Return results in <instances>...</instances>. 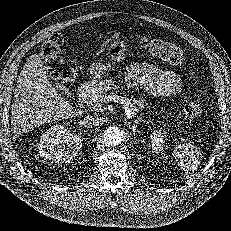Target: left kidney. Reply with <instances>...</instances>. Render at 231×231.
Returning a JSON list of instances; mask_svg holds the SVG:
<instances>
[{"instance_id":"5707ae66","label":"left kidney","mask_w":231,"mask_h":231,"mask_svg":"<svg viewBox=\"0 0 231 231\" xmlns=\"http://www.w3.org/2000/svg\"><path fill=\"white\" fill-rule=\"evenodd\" d=\"M164 137H166L165 131H157L153 132L151 135V142H152V150H154L156 153H159L163 149V143H164Z\"/></svg>"}]
</instances>
